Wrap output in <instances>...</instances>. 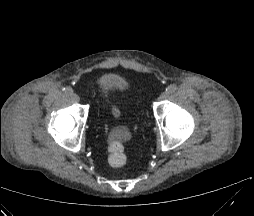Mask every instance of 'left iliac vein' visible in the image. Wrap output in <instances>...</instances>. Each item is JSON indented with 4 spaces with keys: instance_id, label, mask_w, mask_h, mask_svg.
Here are the masks:
<instances>
[{
    "instance_id": "1",
    "label": "left iliac vein",
    "mask_w": 254,
    "mask_h": 216,
    "mask_svg": "<svg viewBox=\"0 0 254 216\" xmlns=\"http://www.w3.org/2000/svg\"><path fill=\"white\" fill-rule=\"evenodd\" d=\"M169 97V93L168 92H163L161 93V95L159 96V100L162 101V100H165Z\"/></svg>"
}]
</instances>
